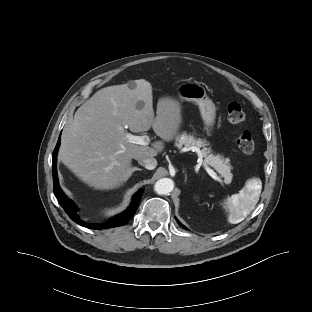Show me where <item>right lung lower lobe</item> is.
I'll use <instances>...</instances> for the list:
<instances>
[{"label": "right lung lower lobe", "instance_id": "1", "mask_svg": "<svg viewBox=\"0 0 312 312\" xmlns=\"http://www.w3.org/2000/svg\"><path fill=\"white\" fill-rule=\"evenodd\" d=\"M60 145V137L58 139L57 145L54 149L53 155H52V173H53V185H54V194L59 200V204L62 206V208L65 210V212L68 214V216L77 224L82 225L84 227L90 228V229H107V228H114L118 226L125 225L135 214L137 207L140 203L143 189L139 190L132 198V202L130 206L127 208L126 211L123 213L115 216L110 222L99 225V224H93V223H86L82 221L78 215H77V208L74 205V203L66 197V195L62 192L57 178V169H56V161H57V151L58 147Z\"/></svg>", "mask_w": 312, "mask_h": 312}]
</instances>
